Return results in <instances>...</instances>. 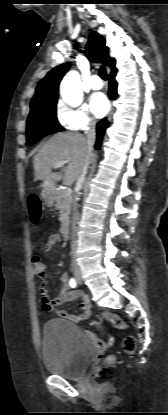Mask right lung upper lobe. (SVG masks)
Returning <instances> with one entry per match:
<instances>
[{
  "instance_id": "cb5924a9",
  "label": "right lung upper lobe",
  "mask_w": 168,
  "mask_h": 415,
  "mask_svg": "<svg viewBox=\"0 0 168 415\" xmlns=\"http://www.w3.org/2000/svg\"><path fill=\"white\" fill-rule=\"evenodd\" d=\"M105 43L103 36L99 35L96 31H92L86 46V54L90 60L104 63L114 71L116 70L115 60L109 57V48ZM70 65V63H64L56 66L39 82L35 95L30 103V111L57 102L59 83L64 74L69 70Z\"/></svg>"
}]
</instances>
